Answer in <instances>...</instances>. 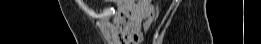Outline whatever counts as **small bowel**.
<instances>
[{
	"mask_svg": "<svg viewBox=\"0 0 261 44\" xmlns=\"http://www.w3.org/2000/svg\"><path fill=\"white\" fill-rule=\"evenodd\" d=\"M147 15V5L136 1V6H120L114 11L112 35L119 44H139L142 40V22Z\"/></svg>",
	"mask_w": 261,
	"mask_h": 44,
	"instance_id": "c3829d8e",
	"label": "small bowel"
}]
</instances>
